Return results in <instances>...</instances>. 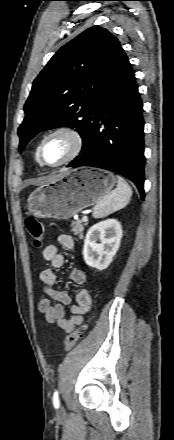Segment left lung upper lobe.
Segmentation results:
<instances>
[{"label":"left lung upper lobe","mask_w":174,"mask_h":440,"mask_svg":"<svg viewBox=\"0 0 174 440\" xmlns=\"http://www.w3.org/2000/svg\"><path fill=\"white\" fill-rule=\"evenodd\" d=\"M124 53L108 30L93 26L65 44L33 82L18 129L19 148L43 129L76 128L83 143L93 102Z\"/></svg>","instance_id":"5c2ea615"}]
</instances>
